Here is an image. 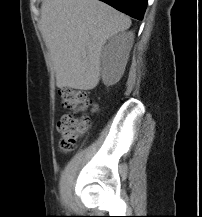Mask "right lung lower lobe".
Instances as JSON below:
<instances>
[{
    "label": "right lung lower lobe",
    "instance_id": "1",
    "mask_svg": "<svg viewBox=\"0 0 202 217\" xmlns=\"http://www.w3.org/2000/svg\"><path fill=\"white\" fill-rule=\"evenodd\" d=\"M129 16L142 20L148 0H101Z\"/></svg>",
    "mask_w": 202,
    "mask_h": 217
}]
</instances>
